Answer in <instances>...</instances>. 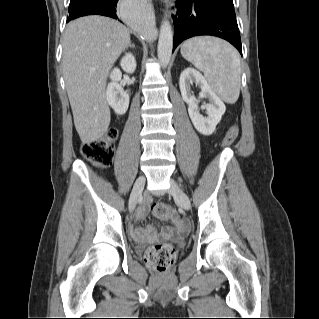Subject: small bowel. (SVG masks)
I'll use <instances>...</instances> for the list:
<instances>
[{"label": "small bowel", "instance_id": "obj_1", "mask_svg": "<svg viewBox=\"0 0 319 319\" xmlns=\"http://www.w3.org/2000/svg\"><path fill=\"white\" fill-rule=\"evenodd\" d=\"M150 204H151L150 197L146 196L142 199L141 207L137 210V212L135 214V222L141 220L142 218H144L146 216V213H147V210H148ZM173 224L176 228V231L164 230V231H162L161 236L173 237L177 233L186 232L189 228L187 221L183 220L180 217H177L175 220H173ZM129 233L133 238H135L141 242L151 241L158 236L157 229L152 224L147 225L145 228L130 227Z\"/></svg>", "mask_w": 319, "mask_h": 319}]
</instances>
